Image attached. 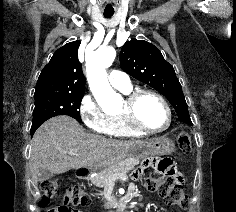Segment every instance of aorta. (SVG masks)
Instances as JSON below:
<instances>
[{
	"label": "aorta",
	"instance_id": "762f6f07",
	"mask_svg": "<svg viewBox=\"0 0 236 212\" xmlns=\"http://www.w3.org/2000/svg\"><path fill=\"white\" fill-rule=\"evenodd\" d=\"M116 57L113 48H104L86 55V73L91 92L103 109L113 108L121 104V95L110 86L106 68L110 67Z\"/></svg>",
	"mask_w": 236,
	"mask_h": 212
}]
</instances>
